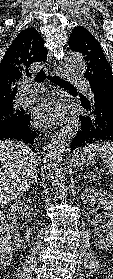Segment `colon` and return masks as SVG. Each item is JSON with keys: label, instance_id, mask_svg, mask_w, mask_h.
I'll return each mask as SVG.
<instances>
[{"label": "colon", "instance_id": "1", "mask_svg": "<svg viewBox=\"0 0 113 279\" xmlns=\"http://www.w3.org/2000/svg\"><path fill=\"white\" fill-rule=\"evenodd\" d=\"M11 240L5 220L0 213V260L9 256Z\"/></svg>", "mask_w": 113, "mask_h": 279}]
</instances>
